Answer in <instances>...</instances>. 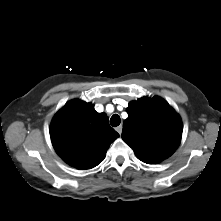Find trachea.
<instances>
[{
    "mask_svg": "<svg viewBox=\"0 0 221 221\" xmlns=\"http://www.w3.org/2000/svg\"><path fill=\"white\" fill-rule=\"evenodd\" d=\"M121 119L120 116L118 114H114L111 118H110V124L113 127H116L120 124Z\"/></svg>",
    "mask_w": 221,
    "mask_h": 221,
    "instance_id": "obj_1",
    "label": "trachea"
}]
</instances>
